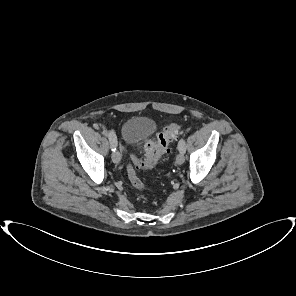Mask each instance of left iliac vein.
<instances>
[{
	"label": "left iliac vein",
	"mask_w": 296,
	"mask_h": 296,
	"mask_svg": "<svg viewBox=\"0 0 296 296\" xmlns=\"http://www.w3.org/2000/svg\"><path fill=\"white\" fill-rule=\"evenodd\" d=\"M183 162H184V153L183 152H179L178 155H177V157H176V163L178 165H181V164H183Z\"/></svg>",
	"instance_id": "1"
}]
</instances>
